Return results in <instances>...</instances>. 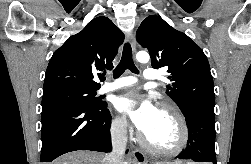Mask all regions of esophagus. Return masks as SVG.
Returning <instances> with one entry per match:
<instances>
[{
    "label": "esophagus",
    "instance_id": "1",
    "mask_svg": "<svg viewBox=\"0 0 251 164\" xmlns=\"http://www.w3.org/2000/svg\"><path fill=\"white\" fill-rule=\"evenodd\" d=\"M127 39L129 41V43L131 44L133 53H135L136 52V38H135V33L133 31H131L130 33H128ZM132 153H133V157H134V159L136 161H138L140 164H146L145 155H144V153L140 149L134 147L133 150H132Z\"/></svg>",
    "mask_w": 251,
    "mask_h": 164
}]
</instances>
